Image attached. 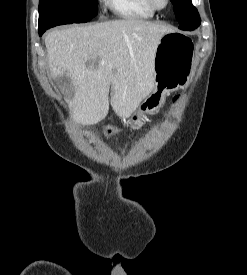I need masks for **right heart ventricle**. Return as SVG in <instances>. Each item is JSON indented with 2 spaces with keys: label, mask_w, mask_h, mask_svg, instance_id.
Returning <instances> with one entry per match:
<instances>
[{
  "label": "right heart ventricle",
  "mask_w": 247,
  "mask_h": 275,
  "mask_svg": "<svg viewBox=\"0 0 247 275\" xmlns=\"http://www.w3.org/2000/svg\"><path fill=\"white\" fill-rule=\"evenodd\" d=\"M106 6L123 19H148L155 15L147 0H105Z\"/></svg>",
  "instance_id": "1"
}]
</instances>
